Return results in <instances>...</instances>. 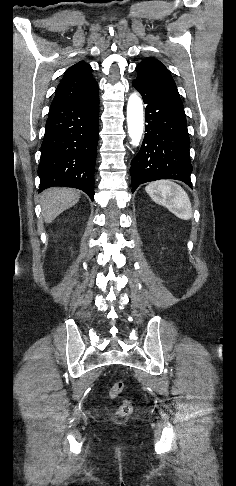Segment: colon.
I'll return each instance as SVG.
<instances>
[{
    "mask_svg": "<svg viewBox=\"0 0 236 486\" xmlns=\"http://www.w3.org/2000/svg\"><path fill=\"white\" fill-rule=\"evenodd\" d=\"M124 384L122 381L116 382L108 391L110 398H116L122 392ZM133 411V404L130 400H123L117 409V414L120 417H126Z\"/></svg>",
    "mask_w": 236,
    "mask_h": 486,
    "instance_id": "5ec220e1",
    "label": "colon"
}]
</instances>
